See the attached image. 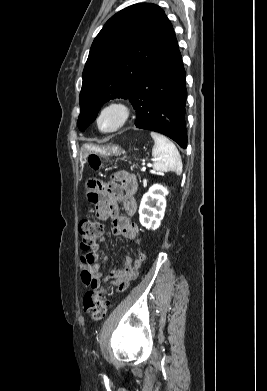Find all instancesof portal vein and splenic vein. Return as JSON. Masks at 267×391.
Here are the masks:
<instances>
[{
    "label": "portal vein and splenic vein",
    "instance_id": "obj_1",
    "mask_svg": "<svg viewBox=\"0 0 267 391\" xmlns=\"http://www.w3.org/2000/svg\"><path fill=\"white\" fill-rule=\"evenodd\" d=\"M153 161L155 160V159H152ZM143 165H145V163H143Z\"/></svg>",
    "mask_w": 267,
    "mask_h": 391
}]
</instances>
